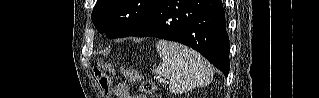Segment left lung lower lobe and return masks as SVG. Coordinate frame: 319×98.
<instances>
[{
  "mask_svg": "<svg viewBox=\"0 0 319 98\" xmlns=\"http://www.w3.org/2000/svg\"><path fill=\"white\" fill-rule=\"evenodd\" d=\"M130 36L183 43L228 75L230 46L220 0H160L146 23Z\"/></svg>",
  "mask_w": 319,
  "mask_h": 98,
  "instance_id": "0a47b994",
  "label": "left lung lower lobe"
}]
</instances>
